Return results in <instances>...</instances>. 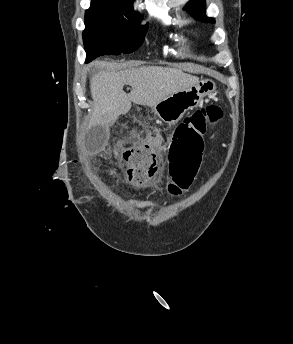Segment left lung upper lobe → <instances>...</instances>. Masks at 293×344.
<instances>
[{
	"instance_id": "5c2ea615",
	"label": "left lung upper lobe",
	"mask_w": 293,
	"mask_h": 344,
	"mask_svg": "<svg viewBox=\"0 0 293 344\" xmlns=\"http://www.w3.org/2000/svg\"><path fill=\"white\" fill-rule=\"evenodd\" d=\"M184 10H187L190 14L203 22H215L213 18H209L204 15L206 10L205 0H190L184 7Z\"/></svg>"
}]
</instances>
